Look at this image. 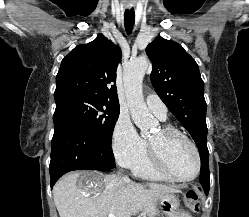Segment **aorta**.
<instances>
[{"label":"aorta","mask_w":249,"mask_h":217,"mask_svg":"<svg viewBox=\"0 0 249 217\" xmlns=\"http://www.w3.org/2000/svg\"><path fill=\"white\" fill-rule=\"evenodd\" d=\"M148 66L145 58H138L130 61L124 69V85L131 117L143 133H147L156 125L142 94V81Z\"/></svg>","instance_id":"aorta-1"}]
</instances>
